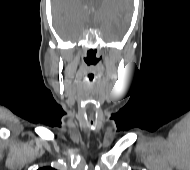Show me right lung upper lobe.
Instances as JSON below:
<instances>
[{
	"instance_id": "cb5924a9",
	"label": "right lung upper lobe",
	"mask_w": 190,
	"mask_h": 170,
	"mask_svg": "<svg viewBox=\"0 0 190 170\" xmlns=\"http://www.w3.org/2000/svg\"><path fill=\"white\" fill-rule=\"evenodd\" d=\"M38 170H55L52 167H43V168H39Z\"/></svg>"
}]
</instances>
